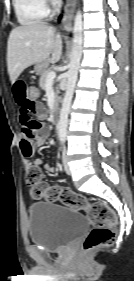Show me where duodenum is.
<instances>
[{
    "instance_id": "1",
    "label": "duodenum",
    "mask_w": 134,
    "mask_h": 281,
    "mask_svg": "<svg viewBox=\"0 0 134 281\" xmlns=\"http://www.w3.org/2000/svg\"><path fill=\"white\" fill-rule=\"evenodd\" d=\"M51 116H52V121L53 122H57L58 118H59V106L58 104H54L52 107V112H51Z\"/></svg>"
}]
</instances>
